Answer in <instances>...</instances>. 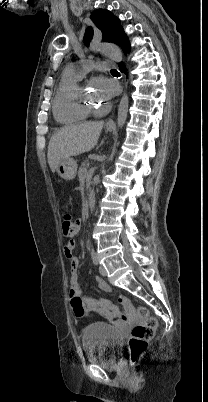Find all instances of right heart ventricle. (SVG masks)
Returning <instances> with one entry per match:
<instances>
[{
    "instance_id": "right-heart-ventricle-1",
    "label": "right heart ventricle",
    "mask_w": 208,
    "mask_h": 402,
    "mask_svg": "<svg viewBox=\"0 0 208 402\" xmlns=\"http://www.w3.org/2000/svg\"><path fill=\"white\" fill-rule=\"evenodd\" d=\"M78 80L62 76L52 101V112L54 119L63 126H79L87 122L88 114L77 111L72 103V97L78 87Z\"/></svg>"
}]
</instances>
